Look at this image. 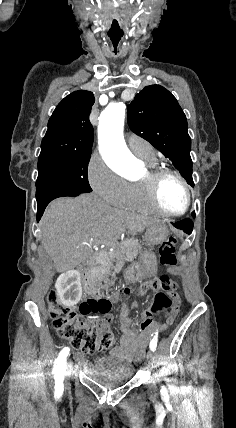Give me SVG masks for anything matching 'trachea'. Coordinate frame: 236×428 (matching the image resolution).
Wrapping results in <instances>:
<instances>
[{"label": "trachea", "instance_id": "3493384b", "mask_svg": "<svg viewBox=\"0 0 236 428\" xmlns=\"http://www.w3.org/2000/svg\"><path fill=\"white\" fill-rule=\"evenodd\" d=\"M112 18L113 20L109 29L108 40L112 50L114 52H119L121 50V45L125 39V36L121 27L120 15L116 13Z\"/></svg>", "mask_w": 236, "mask_h": 428}]
</instances>
